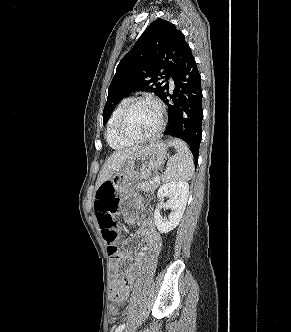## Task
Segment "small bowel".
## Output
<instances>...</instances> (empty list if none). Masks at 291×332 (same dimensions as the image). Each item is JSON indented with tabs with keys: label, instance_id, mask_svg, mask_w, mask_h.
Segmentation results:
<instances>
[{
	"label": "small bowel",
	"instance_id": "c3829d8e",
	"mask_svg": "<svg viewBox=\"0 0 291 332\" xmlns=\"http://www.w3.org/2000/svg\"><path fill=\"white\" fill-rule=\"evenodd\" d=\"M104 189H113V187L109 182H104L98 187L94 201V211L96 216V198ZM136 236L142 239L144 251L134 256L131 250L124 247L119 252L118 258H115L114 260L113 271L115 276L111 286V297L116 302H124L129 297L135 285L139 267L149 258L159 256L162 250V235L156 229L152 220L144 221ZM126 259H131L133 264L129 267L124 276L121 277L117 273L121 261Z\"/></svg>",
	"mask_w": 291,
	"mask_h": 332
}]
</instances>
